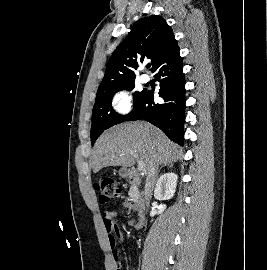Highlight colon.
Wrapping results in <instances>:
<instances>
[{
    "mask_svg": "<svg viewBox=\"0 0 267 270\" xmlns=\"http://www.w3.org/2000/svg\"><path fill=\"white\" fill-rule=\"evenodd\" d=\"M96 190L99 194V201L102 204H107L112 200L118 198L121 194V190L116 182L110 177L99 178L95 183ZM117 269L120 270L121 262L119 256L116 257Z\"/></svg>",
    "mask_w": 267,
    "mask_h": 270,
    "instance_id": "colon-1",
    "label": "colon"
}]
</instances>
